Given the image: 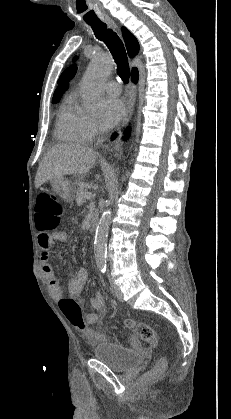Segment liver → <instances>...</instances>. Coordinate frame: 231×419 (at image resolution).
<instances>
[{"label":"liver","instance_id":"6515ba94","mask_svg":"<svg viewBox=\"0 0 231 419\" xmlns=\"http://www.w3.org/2000/svg\"><path fill=\"white\" fill-rule=\"evenodd\" d=\"M98 158V152L78 144H57L41 161L36 176L35 187L39 188L48 180L64 175L87 174Z\"/></svg>","mask_w":231,"mask_h":419}]
</instances>
